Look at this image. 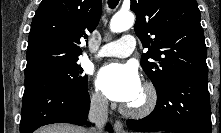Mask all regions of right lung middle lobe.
Returning <instances> with one entry per match:
<instances>
[{
	"instance_id": "obj_1",
	"label": "right lung middle lobe",
	"mask_w": 221,
	"mask_h": 133,
	"mask_svg": "<svg viewBox=\"0 0 221 133\" xmlns=\"http://www.w3.org/2000/svg\"><path fill=\"white\" fill-rule=\"evenodd\" d=\"M81 74L82 68L75 62L47 66L34 72L32 75L53 77L72 88H80L84 87L88 81V77Z\"/></svg>"
}]
</instances>
